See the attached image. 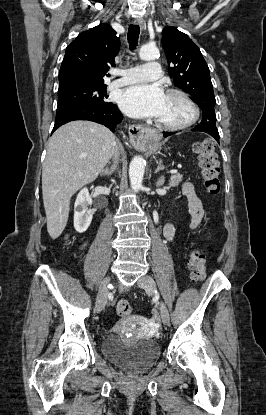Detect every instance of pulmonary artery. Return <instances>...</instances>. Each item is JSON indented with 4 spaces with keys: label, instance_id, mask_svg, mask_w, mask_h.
Returning <instances> with one entry per match:
<instances>
[{
    "label": "pulmonary artery",
    "instance_id": "obj_1",
    "mask_svg": "<svg viewBox=\"0 0 266 415\" xmlns=\"http://www.w3.org/2000/svg\"><path fill=\"white\" fill-rule=\"evenodd\" d=\"M119 79L111 83V87L117 88L138 82L152 81L160 77L161 68L158 62H148L136 67L119 70L116 72Z\"/></svg>",
    "mask_w": 266,
    "mask_h": 415
}]
</instances>
